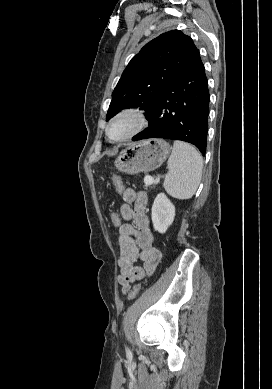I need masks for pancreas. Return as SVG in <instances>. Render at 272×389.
<instances>
[{"label":"pancreas","instance_id":"obj_1","mask_svg":"<svg viewBox=\"0 0 272 389\" xmlns=\"http://www.w3.org/2000/svg\"><path fill=\"white\" fill-rule=\"evenodd\" d=\"M148 177H149V176H148ZM144 183H145V185H144L145 188H148L150 185H152V184L155 183V182H153V183H148V182H146L145 179H144Z\"/></svg>","mask_w":272,"mask_h":389}]
</instances>
